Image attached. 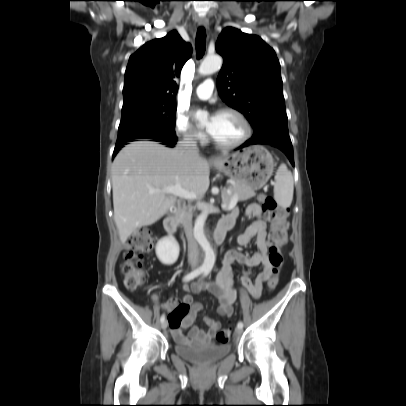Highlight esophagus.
I'll list each match as a JSON object with an SVG mask.
<instances>
[{
  "label": "esophagus",
  "mask_w": 406,
  "mask_h": 406,
  "mask_svg": "<svg viewBox=\"0 0 406 406\" xmlns=\"http://www.w3.org/2000/svg\"><path fill=\"white\" fill-rule=\"evenodd\" d=\"M198 23H199L200 26L207 27V25H208V20H207V19H200ZM209 161H210L211 163H216V162H218V159H217L216 157H211V158L209 159Z\"/></svg>",
  "instance_id": "34e87169"
}]
</instances>
